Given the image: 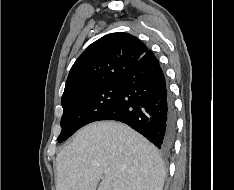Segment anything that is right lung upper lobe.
<instances>
[{
	"instance_id": "right-lung-upper-lobe-1",
	"label": "right lung upper lobe",
	"mask_w": 234,
	"mask_h": 190,
	"mask_svg": "<svg viewBox=\"0 0 234 190\" xmlns=\"http://www.w3.org/2000/svg\"><path fill=\"white\" fill-rule=\"evenodd\" d=\"M128 33H111L92 43L73 64L62 101L82 91L119 82L126 71L148 52Z\"/></svg>"
}]
</instances>
